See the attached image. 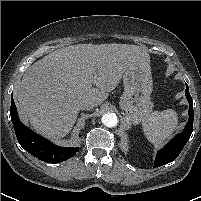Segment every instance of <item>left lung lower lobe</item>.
Returning a JSON list of instances; mask_svg holds the SVG:
<instances>
[{
	"label": "left lung lower lobe",
	"instance_id": "left-lung-lower-lobe-1",
	"mask_svg": "<svg viewBox=\"0 0 201 201\" xmlns=\"http://www.w3.org/2000/svg\"><path fill=\"white\" fill-rule=\"evenodd\" d=\"M185 95L189 102V120L184 130L157 153L154 168L160 167L162 165L174 161L178 157V155L180 154V152L182 151V149L184 148L185 144L187 143L192 134L194 111H193V101L190 96L187 84H186Z\"/></svg>",
	"mask_w": 201,
	"mask_h": 201
}]
</instances>
